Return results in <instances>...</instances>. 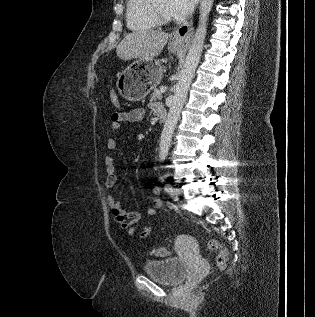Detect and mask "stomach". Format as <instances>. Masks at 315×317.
<instances>
[{
  "label": "stomach",
  "mask_w": 315,
  "mask_h": 317,
  "mask_svg": "<svg viewBox=\"0 0 315 317\" xmlns=\"http://www.w3.org/2000/svg\"><path fill=\"white\" fill-rule=\"evenodd\" d=\"M182 42L172 40L168 49L178 52ZM163 68L159 61L138 59L121 71L116 82L119 94L126 100L136 102L144 99L161 81Z\"/></svg>",
  "instance_id": "1"
}]
</instances>
